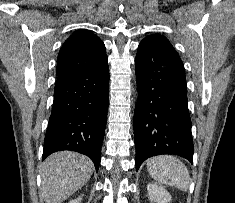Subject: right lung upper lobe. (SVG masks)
<instances>
[{"instance_id":"right-lung-upper-lobe-1","label":"right lung upper lobe","mask_w":235,"mask_h":203,"mask_svg":"<svg viewBox=\"0 0 235 203\" xmlns=\"http://www.w3.org/2000/svg\"><path fill=\"white\" fill-rule=\"evenodd\" d=\"M106 56L104 43L90 31L78 30L63 44L57 57V81L64 80Z\"/></svg>"}]
</instances>
